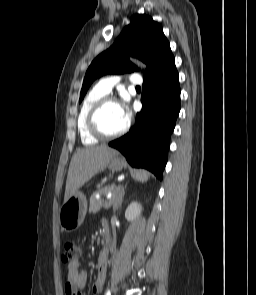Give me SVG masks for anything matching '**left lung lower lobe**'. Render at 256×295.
Returning a JSON list of instances; mask_svg holds the SVG:
<instances>
[{
  "label": "left lung lower lobe",
  "mask_w": 256,
  "mask_h": 295,
  "mask_svg": "<svg viewBox=\"0 0 256 295\" xmlns=\"http://www.w3.org/2000/svg\"><path fill=\"white\" fill-rule=\"evenodd\" d=\"M143 110L135 127L109 143L133 167L146 168L162 177L167 163L170 135L180 111V87L175 63L151 77L144 78Z\"/></svg>",
  "instance_id": "0a47b994"
}]
</instances>
